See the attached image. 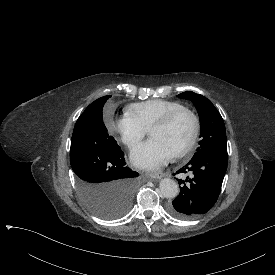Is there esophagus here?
Here are the masks:
<instances>
[{
	"label": "esophagus",
	"mask_w": 275,
	"mask_h": 275,
	"mask_svg": "<svg viewBox=\"0 0 275 275\" xmlns=\"http://www.w3.org/2000/svg\"><path fill=\"white\" fill-rule=\"evenodd\" d=\"M150 176L156 180H160L165 174L162 171H158L156 173L150 174Z\"/></svg>",
	"instance_id": "obj_1"
}]
</instances>
